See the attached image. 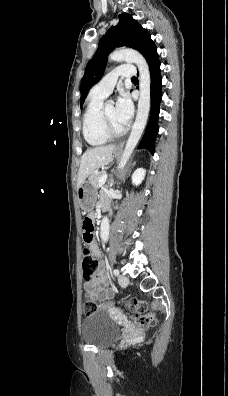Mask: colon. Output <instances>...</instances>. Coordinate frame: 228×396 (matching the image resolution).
Wrapping results in <instances>:
<instances>
[{"instance_id": "5ec220e1", "label": "colon", "mask_w": 228, "mask_h": 396, "mask_svg": "<svg viewBox=\"0 0 228 396\" xmlns=\"http://www.w3.org/2000/svg\"><path fill=\"white\" fill-rule=\"evenodd\" d=\"M83 257H82V276L83 280L90 284L94 280L95 272L98 268V261L90 250V244L94 240V225L91 218H85L83 222ZM126 306L133 313V321L142 328H152L157 324V318L153 313L148 312V305L143 300H134L126 303ZM99 309L98 303L87 298L83 303L85 314H91Z\"/></svg>"}]
</instances>
